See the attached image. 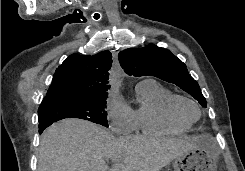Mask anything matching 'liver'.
Returning a JSON list of instances; mask_svg holds the SVG:
<instances>
[{
    "label": "liver",
    "mask_w": 245,
    "mask_h": 171,
    "mask_svg": "<svg viewBox=\"0 0 245 171\" xmlns=\"http://www.w3.org/2000/svg\"><path fill=\"white\" fill-rule=\"evenodd\" d=\"M205 138H115L88 121L65 119L42 135L37 171H159ZM105 159L114 164L111 169Z\"/></svg>",
    "instance_id": "obj_1"
}]
</instances>
